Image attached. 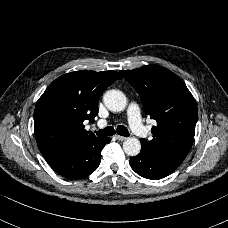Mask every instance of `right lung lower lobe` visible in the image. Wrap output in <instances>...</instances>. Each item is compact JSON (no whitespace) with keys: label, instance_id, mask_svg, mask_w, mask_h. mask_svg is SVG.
<instances>
[{"label":"right lung lower lobe","instance_id":"1","mask_svg":"<svg viewBox=\"0 0 228 228\" xmlns=\"http://www.w3.org/2000/svg\"><path fill=\"white\" fill-rule=\"evenodd\" d=\"M109 142L110 138L94 136L44 155V158L58 174L69 179H80L97 169L101 161V151Z\"/></svg>","mask_w":228,"mask_h":228}]
</instances>
